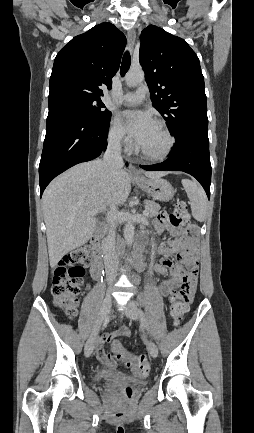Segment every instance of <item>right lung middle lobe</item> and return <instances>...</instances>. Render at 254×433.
<instances>
[{"instance_id": "1", "label": "right lung middle lobe", "mask_w": 254, "mask_h": 433, "mask_svg": "<svg viewBox=\"0 0 254 433\" xmlns=\"http://www.w3.org/2000/svg\"><path fill=\"white\" fill-rule=\"evenodd\" d=\"M50 107H63L77 110L95 121H106L111 118V112L107 109L104 110L105 105L101 99H66L49 106V108Z\"/></svg>"}]
</instances>
